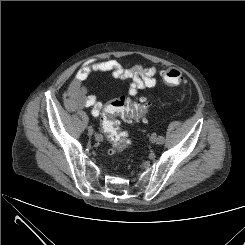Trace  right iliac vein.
Returning <instances> with one entry per match:
<instances>
[{
    "mask_svg": "<svg viewBox=\"0 0 245 245\" xmlns=\"http://www.w3.org/2000/svg\"><path fill=\"white\" fill-rule=\"evenodd\" d=\"M88 135L89 136H92L93 135V128L91 126L88 127ZM98 136H99V134H96L95 135L96 140H98L97 139Z\"/></svg>",
    "mask_w": 245,
    "mask_h": 245,
    "instance_id": "obj_1",
    "label": "right iliac vein"
}]
</instances>
